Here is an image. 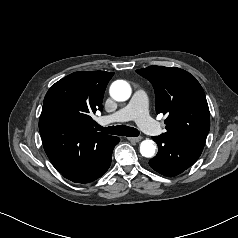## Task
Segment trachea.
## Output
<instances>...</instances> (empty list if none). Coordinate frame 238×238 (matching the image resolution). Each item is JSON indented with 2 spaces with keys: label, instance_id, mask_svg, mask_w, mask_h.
Returning a JSON list of instances; mask_svg holds the SVG:
<instances>
[{
  "label": "trachea",
  "instance_id": "trachea-1",
  "mask_svg": "<svg viewBox=\"0 0 238 238\" xmlns=\"http://www.w3.org/2000/svg\"><path fill=\"white\" fill-rule=\"evenodd\" d=\"M97 130L112 134V135H120V136H127V137H137L139 135V131L133 127L125 126V125H117V126H110V127H102L99 124H95Z\"/></svg>",
  "mask_w": 238,
  "mask_h": 238
}]
</instances>
